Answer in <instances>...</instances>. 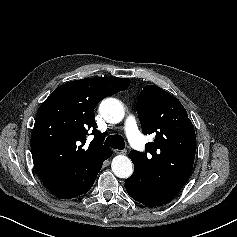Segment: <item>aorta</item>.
Instances as JSON below:
<instances>
[{
    "instance_id": "aorta-1",
    "label": "aorta",
    "mask_w": 237,
    "mask_h": 237,
    "mask_svg": "<svg viewBox=\"0 0 237 237\" xmlns=\"http://www.w3.org/2000/svg\"><path fill=\"white\" fill-rule=\"evenodd\" d=\"M99 112L109 123H119L124 117L123 105L115 98L104 99L100 103ZM111 168L113 173L119 178H128L133 173V164L131 160L124 155L114 157Z\"/></svg>"
}]
</instances>
